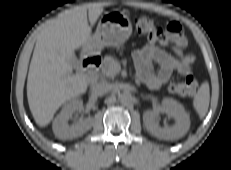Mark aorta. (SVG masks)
<instances>
[{"instance_id":"aorta-1","label":"aorta","mask_w":231,"mask_h":170,"mask_svg":"<svg viewBox=\"0 0 231 170\" xmlns=\"http://www.w3.org/2000/svg\"><path fill=\"white\" fill-rule=\"evenodd\" d=\"M118 99L123 104H128L132 101V95L129 92H123L118 95Z\"/></svg>"}]
</instances>
